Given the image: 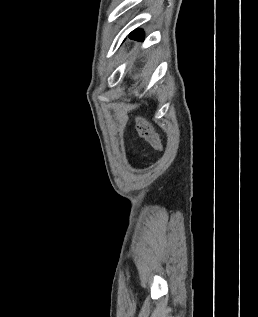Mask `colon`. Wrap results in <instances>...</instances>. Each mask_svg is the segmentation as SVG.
I'll use <instances>...</instances> for the list:
<instances>
[{
    "mask_svg": "<svg viewBox=\"0 0 258 317\" xmlns=\"http://www.w3.org/2000/svg\"><path fill=\"white\" fill-rule=\"evenodd\" d=\"M134 126L137 132L151 144V146L161 151L163 148V141L160 134L155 130L150 122L142 116H136L134 119Z\"/></svg>",
    "mask_w": 258,
    "mask_h": 317,
    "instance_id": "1",
    "label": "colon"
}]
</instances>
